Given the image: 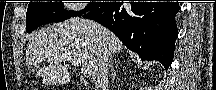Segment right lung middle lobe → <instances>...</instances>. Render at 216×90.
<instances>
[{"label":"right lung middle lobe","instance_id":"obj_1","mask_svg":"<svg viewBox=\"0 0 216 90\" xmlns=\"http://www.w3.org/2000/svg\"><path fill=\"white\" fill-rule=\"evenodd\" d=\"M101 2H90L84 10H64L62 2H30L26 13V32L52 22H61L74 16H81L86 11L95 9Z\"/></svg>","mask_w":216,"mask_h":90}]
</instances>
